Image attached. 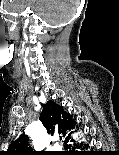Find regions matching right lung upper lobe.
<instances>
[{
  "label": "right lung upper lobe",
  "instance_id": "obj_1",
  "mask_svg": "<svg viewBox=\"0 0 119 155\" xmlns=\"http://www.w3.org/2000/svg\"><path fill=\"white\" fill-rule=\"evenodd\" d=\"M39 119L48 132L58 131L62 133L65 140L71 136L76 126L70 114L51 100L45 104ZM34 153L28 146V136L22 134L9 146L4 155H35Z\"/></svg>",
  "mask_w": 119,
  "mask_h": 155
}]
</instances>
